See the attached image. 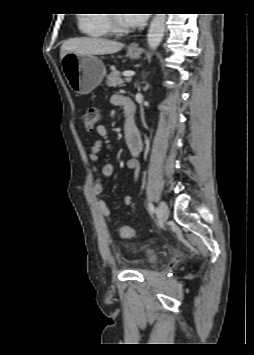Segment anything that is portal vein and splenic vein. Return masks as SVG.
<instances>
[{
    "mask_svg": "<svg viewBox=\"0 0 254 355\" xmlns=\"http://www.w3.org/2000/svg\"><path fill=\"white\" fill-rule=\"evenodd\" d=\"M134 75H135V73L132 72V71H125V72H123V76L126 77L128 80H130L131 77L134 76Z\"/></svg>",
    "mask_w": 254,
    "mask_h": 355,
    "instance_id": "portal-vein-and-splenic-vein-1",
    "label": "portal vein and splenic vein"
}]
</instances>
